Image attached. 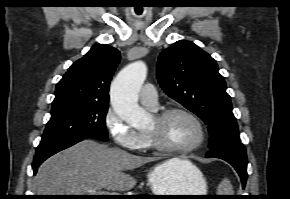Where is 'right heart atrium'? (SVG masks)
<instances>
[{
  "label": "right heart atrium",
  "instance_id": "d8ad5b80",
  "mask_svg": "<svg viewBox=\"0 0 290 199\" xmlns=\"http://www.w3.org/2000/svg\"><path fill=\"white\" fill-rule=\"evenodd\" d=\"M105 124L116 145L132 151L140 148L141 134L130 127L113 108L107 110Z\"/></svg>",
  "mask_w": 290,
  "mask_h": 199
}]
</instances>
